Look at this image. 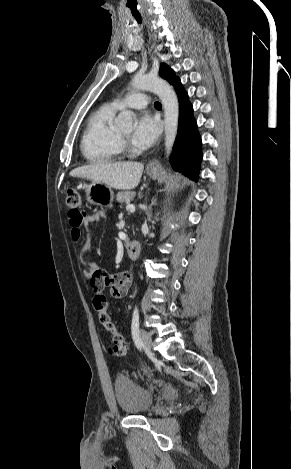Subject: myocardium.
<instances>
[{"instance_id": "1", "label": "myocardium", "mask_w": 291, "mask_h": 469, "mask_svg": "<svg viewBox=\"0 0 291 469\" xmlns=\"http://www.w3.org/2000/svg\"><path fill=\"white\" fill-rule=\"evenodd\" d=\"M119 138H120V140H121L122 143L125 142L126 137H125L124 135H122V134L119 133Z\"/></svg>"}]
</instances>
